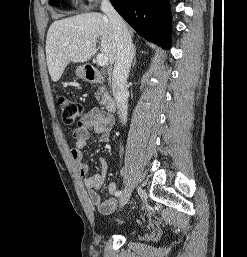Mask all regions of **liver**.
I'll return each instance as SVG.
<instances>
[{
    "label": "liver",
    "mask_w": 247,
    "mask_h": 257,
    "mask_svg": "<svg viewBox=\"0 0 247 257\" xmlns=\"http://www.w3.org/2000/svg\"><path fill=\"white\" fill-rule=\"evenodd\" d=\"M133 35V32H129ZM100 39V51L113 64L117 45L113 26L108 16L101 13H83L54 21L46 38V58L52 81L57 82L70 62L89 61ZM86 41H89L86 44Z\"/></svg>",
    "instance_id": "obj_1"
}]
</instances>
